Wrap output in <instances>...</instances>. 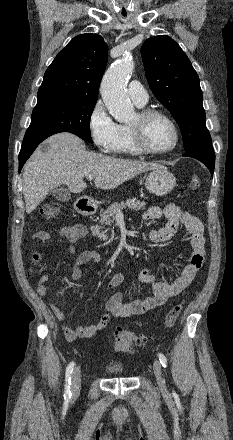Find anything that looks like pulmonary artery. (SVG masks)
Listing matches in <instances>:
<instances>
[{
  "label": "pulmonary artery",
  "instance_id": "1",
  "mask_svg": "<svg viewBox=\"0 0 233 440\" xmlns=\"http://www.w3.org/2000/svg\"><path fill=\"white\" fill-rule=\"evenodd\" d=\"M128 94L133 102L142 107L148 102V93L141 82L133 80L128 85Z\"/></svg>",
  "mask_w": 233,
  "mask_h": 440
}]
</instances>
